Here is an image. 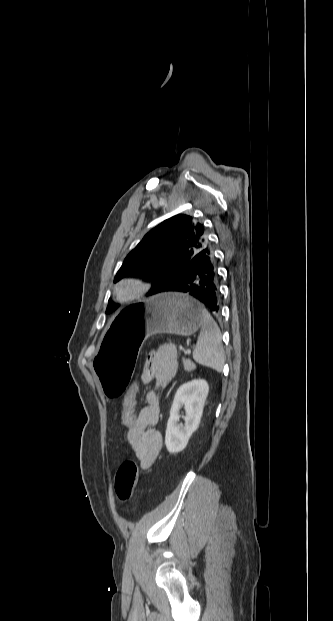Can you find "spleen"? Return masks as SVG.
<instances>
[{"label": "spleen", "mask_w": 333, "mask_h": 621, "mask_svg": "<svg viewBox=\"0 0 333 621\" xmlns=\"http://www.w3.org/2000/svg\"><path fill=\"white\" fill-rule=\"evenodd\" d=\"M193 359L200 365L223 370L225 358L220 329L206 311L202 320L200 334L193 352Z\"/></svg>", "instance_id": "3e777b00"}]
</instances>
